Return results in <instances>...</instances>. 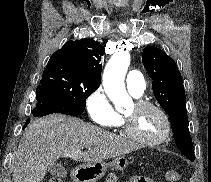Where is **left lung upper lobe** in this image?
I'll use <instances>...</instances> for the list:
<instances>
[{
  "label": "left lung upper lobe",
  "mask_w": 211,
  "mask_h": 182,
  "mask_svg": "<svg viewBox=\"0 0 211 182\" xmlns=\"http://www.w3.org/2000/svg\"><path fill=\"white\" fill-rule=\"evenodd\" d=\"M142 62L153 80L154 95L169 116L178 149L194 161L192 139L187 124L184 86L175 61L159 48L148 46L143 50Z\"/></svg>",
  "instance_id": "obj_1"
}]
</instances>
